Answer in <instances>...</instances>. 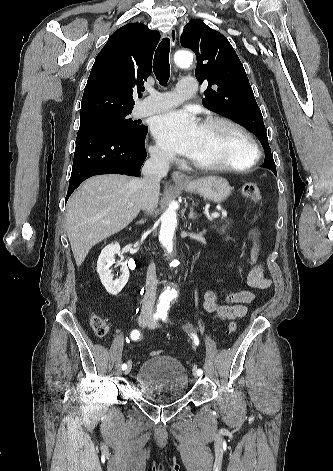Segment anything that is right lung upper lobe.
<instances>
[{
    "instance_id": "cb5924a9",
    "label": "right lung upper lobe",
    "mask_w": 333,
    "mask_h": 471,
    "mask_svg": "<svg viewBox=\"0 0 333 471\" xmlns=\"http://www.w3.org/2000/svg\"><path fill=\"white\" fill-rule=\"evenodd\" d=\"M159 38L158 31L142 23L126 24L111 35L90 72L80 119L132 111V94L144 91Z\"/></svg>"
}]
</instances>
